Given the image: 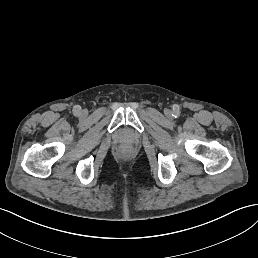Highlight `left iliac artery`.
Wrapping results in <instances>:
<instances>
[{"mask_svg":"<svg viewBox=\"0 0 258 258\" xmlns=\"http://www.w3.org/2000/svg\"><path fill=\"white\" fill-rule=\"evenodd\" d=\"M180 114H181L180 110H176V111L173 112L172 116L174 118H178L180 116Z\"/></svg>","mask_w":258,"mask_h":258,"instance_id":"44dca946","label":"left iliac artery"}]
</instances>
